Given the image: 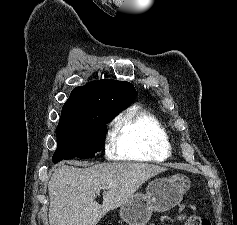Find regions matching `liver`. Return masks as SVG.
Here are the masks:
<instances>
[{
  "label": "liver",
  "mask_w": 237,
  "mask_h": 225,
  "mask_svg": "<svg viewBox=\"0 0 237 225\" xmlns=\"http://www.w3.org/2000/svg\"><path fill=\"white\" fill-rule=\"evenodd\" d=\"M167 168L145 163H103L88 168L61 164L48 183L50 225H96L148 179ZM102 187L103 203L96 202Z\"/></svg>",
  "instance_id": "6515ba94"
}]
</instances>
